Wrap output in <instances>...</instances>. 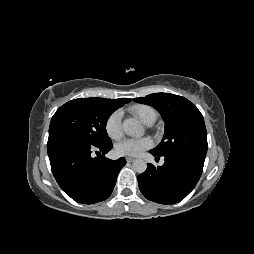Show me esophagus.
<instances>
[{
  "instance_id": "1",
  "label": "esophagus",
  "mask_w": 254,
  "mask_h": 254,
  "mask_svg": "<svg viewBox=\"0 0 254 254\" xmlns=\"http://www.w3.org/2000/svg\"><path fill=\"white\" fill-rule=\"evenodd\" d=\"M135 159L134 158H132V157H126V161L127 162H133Z\"/></svg>"
}]
</instances>
